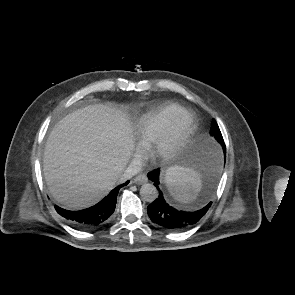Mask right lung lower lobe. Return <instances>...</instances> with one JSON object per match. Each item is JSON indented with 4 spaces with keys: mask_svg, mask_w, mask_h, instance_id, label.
<instances>
[{
    "mask_svg": "<svg viewBox=\"0 0 295 295\" xmlns=\"http://www.w3.org/2000/svg\"><path fill=\"white\" fill-rule=\"evenodd\" d=\"M126 183L114 188L103 200L96 205L81 211H70L55 206L56 211L72 225L82 228L91 229L102 225L114 212L119 189Z\"/></svg>",
    "mask_w": 295,
    "mask_h": 295,
    "instance_id": "1",
    "label": "right lung lower lobe"
}]
</instances>
